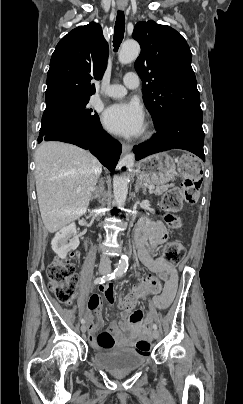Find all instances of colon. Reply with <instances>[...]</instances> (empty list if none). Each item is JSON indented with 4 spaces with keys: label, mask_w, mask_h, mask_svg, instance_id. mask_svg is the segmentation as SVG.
<instances>
[{
    "label": "colon",
    "mask_w": 243,
    "mask_h": 404,
    "mask_svg": "<svg viewBox=\"0 0 243 404\" xmlns=\"http://www.w3.org/2000/svg\"><path fill=\"white\" fill-rule=\"evenodd\" d=\"M179 171L183 181L180 187L169 189L163 196L162 207L166 211V222L172 227L180 226V219L176 213L182 208L183 202L196 203L202 183L201 170L191 155H185L180 159ZM185 248L179 242H169L165 246L164 260L171 265L179 264L185 256ZM76 254H71L70 259H54L47 267L46 274L49 279V288L54 296L66 305L72 304L78 277L75 265L72 261ZM160 291V283L154 276L143 279L140 287L129 292L119 303L125 316H130L142 296L154 295ZM99 348L110 349L115 346L113 336L104 332L96 339ZM137 348L148 352L151 348L149 339L143 337L138 340Z\"/></svg>",
    "instance_id": "1"
}]
</instances>
